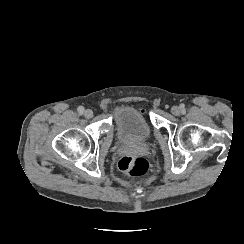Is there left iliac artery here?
I'll use <instances>...</instances> for the list:
<instances>
[{"instance_id": "44dca946", "label": "left iliac artery", "mask_w": 244, "mask_h": 244, "mask_svg": "<svg viewBox=\"0 0 244 244\" xmlns=\"http://www.w3.org/2000/svg\"><path fill=\"white\" fill-rule=\"evenodd\" d=\"M184 107H185L184 104H181V108L184 109Z\"/></svg>"}]
</instances>
